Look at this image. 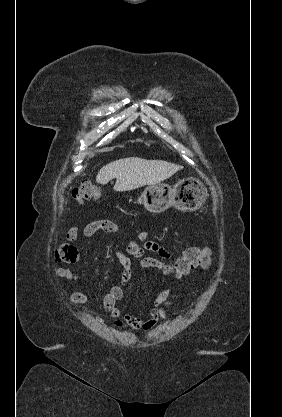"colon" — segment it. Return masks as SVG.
<instances>
[{"label":"colon","mask_w":282,"mask_h":417,"mask_svg":"<svg viewBox=\"0 0 282 417\" xmlns=\"http://www.w3.org/2000/svg\"><path fill=\"white\" fill-rule=\"evenodd\" d=\"M101 194L100 186L97 183L82 182L73 190L72 197L74 200L82 202L85 200L98 198ZM58 261L68 264L76 263L79 258L78 249L70 244H62L56 252ZM178 266H163V271L177 277L187 276L197 266L209 267L210 250L208 248H188L182 256L178 257Z\"/></svg>","instance_id":"obj_1"}]
</instances>
